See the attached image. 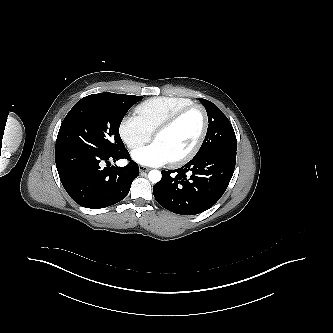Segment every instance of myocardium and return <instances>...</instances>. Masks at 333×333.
<instances>
[{
	"mask_svg": "<svg viewBox=\"0 0 333 333\" xmlns=\"http://www.w3.org/2000/svg\"><path fill=\"white\" fill-rule=\"evenodd\" d=\"M195 109H197L201 112L202 119H203V124H202V129H201L200 135H199L197 141L195 142V144L193 145V147L189 151H187L186 153H184L183 155H181L175 159L170 160V163L172 165H180V164H183V163L191 160L200 150V148L206 138L208 128H209V117H208V113H207L205 107L201 104H196V103L186 106V107L178 110L174 114H172L163 123H161L153 132V139H155L159 134L172 128L186 114H188L189 112H191L192 110H195Z\"/></svg>",
	"mask_w": 333,
	"mask_h": 333,
	"instance_id": "1",
	"label": "myocardium"
}]
</instances>
